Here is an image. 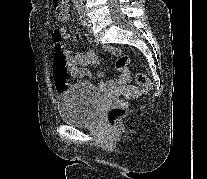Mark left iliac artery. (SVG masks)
<instances>
[{
    "label": "left iliac artery",
    "instance_id": "44dca946",
    "mask_svg": "<svg viewBox=\"0 0 207 179\" xmlns=\"http://www.w3.org/2000/svg\"><path fill=\"white\" fill-rule=\"evenodd\" d=\"M76 8H77V11H78V14H79V17H80V20H81L82 24L87 25L83 6L81 4H79V5L76 6Z\"/></svg>",
    "mask_w": 207,
    "mask_h": 179
}]
</instances>
